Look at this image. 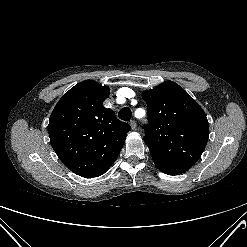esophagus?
I'll return each instance as SVG.
<instances>
[{"label": "esophagus", "instance_id": "1", "mask_svg": "<svg viewBox=\"0 0 247 247\" xmlns=\"http://www.w3.org/2000/svg\"><path fill=\"white\" fill-rule=\"evenodd\" d=\"M130 126H131V128H132L133 130H135L136 127H137L136 121H135V120H132V121L130 122Z\"/></svg>", "mask_w": 247, "mask_h": 247}]
</instances>
